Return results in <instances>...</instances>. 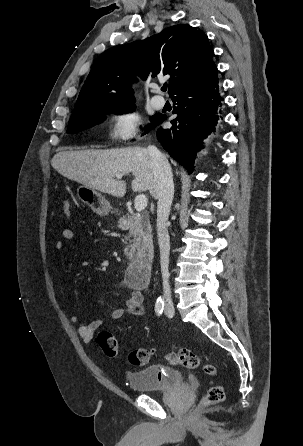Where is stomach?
Returning a JSON list of instances; mask_svg holds the SVG:
<instances>
[{
    "label": "stomach",
    "mask_w": 303,
    "mask_h": 446,
    "mask_svg": "<svg viewBox=\"0 0 303 446\" xmlns=\"http://www.w3.org/2000/svg\"><path fill=\"white\" fill-rule=\"evenodd\" d=\"M77 197L100 216H105L112 210L110 203L101 193L87 186L78 187Z\"/></svg>",
    "instance_id": "0dacf381"
}]
</instances>
